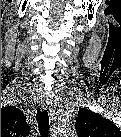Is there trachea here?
<instances>
[{
	"mask_svg": "<svg viewBox=\"0 0 121 137\" xmlns=\"http://www.w3.org/2000/svg\"><path fill=\"white\" fill-rule=\"evenodd\" d=\"M37 122H38V128L39 130L43 131L45 130L49 125V117L48 112L45 111H37Z\"/></svg>",
	"mask_w": 121,
	"mask_h": 137,
	"instance_id": "obj_1",
	"label": "trachea"
}]
</instances>
